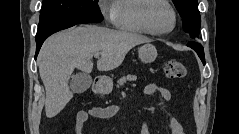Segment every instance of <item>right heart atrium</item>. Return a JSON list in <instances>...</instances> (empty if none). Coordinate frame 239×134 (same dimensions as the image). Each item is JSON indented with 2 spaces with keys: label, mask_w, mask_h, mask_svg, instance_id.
Segmentation results:
<instances>
[{
  "label": "right heart atrium",
  "mask_w": 239,
  "mask_h": 134,
  "mask_svg": "<svg viewBox=\"0 0 239 134\" xmlns=\"http://www.w3.org/2000/svg\"><path fill=\"white\" fill-rule=\"evenodd\" d=\"M99 9L108 23H114L115 20V5L113 2L101 1L99 4Z\"/></svg>",
  "instance_id": "obj_1"
}]
</instances>
